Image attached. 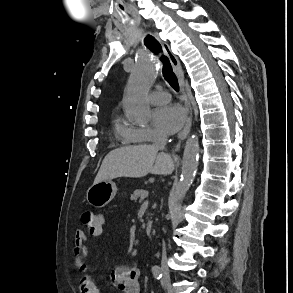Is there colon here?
Listing matches in <instances>:
<instances>
[{
  "label": "colon",
  "instance_id": "obj_1",
  "mask_svg": "<svg viewBox=\"0 0 293 293\" xmlns=\"http://www.w3.org/2000/svg\"><path fill=\"white\" fill-rule=\"evenodd\" d=\"M81 222L89 233L98 231L102 226V222L98 214L90 210H86L81 214ZM90 293H97V288L92 287Z\"/></svg>",
  "mask_w": 293,
  "mask_h": 293
}]
</instances>
